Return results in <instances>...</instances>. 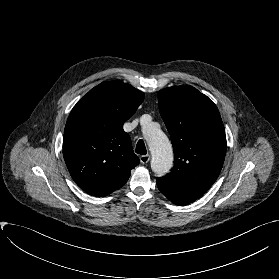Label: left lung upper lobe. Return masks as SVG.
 <instances>
[{
  "label": "left lung upper lobe",
  "instance_id": "5c2ea615",
  "mask_svg": "<svg viewBox=\"0 0 279 279\" xmlns=\"http://www.w3.org/2000/svg\"><path fill=\"white\" fill-rule=\"evenodd\" d=\"M160 114L171 136L175 164L157 182L201 197L220 174L226 154L224 125L216 105L190 85L158 92Z\"/></svg>",
  "mask_w": 279,
  "mask_h": 279
}]
</instances>
